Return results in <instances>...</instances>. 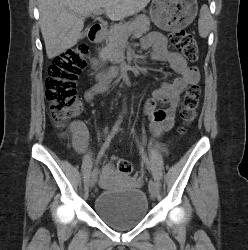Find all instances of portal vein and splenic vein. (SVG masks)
<instances>
[{"mask_svg":"<svg viewBox=\"0 0 248 250\" xmlns=\"http://www.w3.org/2000/svg\"><path fill=\"white\" fill-rule=\"evenodd\" d=\"M103 12H104V11H103L102 9H98V10H96V11L94 12V15L99 16V15H102Z\"/></svg>","mask_w":248,"mask_h":250,"instance_id":"1","label":"portal vein and splenic vein"}]
</instances>
